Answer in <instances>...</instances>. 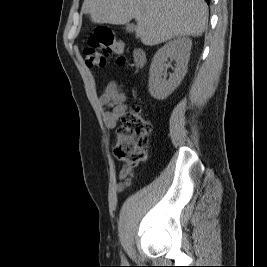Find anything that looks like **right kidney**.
Here are the masks:
<instances>
[{
    "label": "right kidney",
    "mask_w": 267,
    "mask_h": 267,
    "mask_svg": "<svg viewBox=\"0 0 267 267\" xmlns=\"http://www.w3.org/2000/svg\"><path fill=\"white\" fill-rule=\"evenodd\" d=\"M192 41L189 38H178L169 41L160 48L152 59L149 70V93L157 99L167 98L181 83L186 72L190 58ZM168 58L176 61L174 72L166 79V70L171 66L166 63Z\"/></svg>",
    "instance_id": "1"
}]
</instances>
